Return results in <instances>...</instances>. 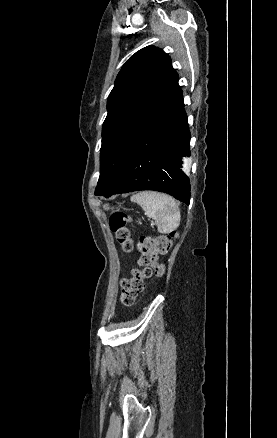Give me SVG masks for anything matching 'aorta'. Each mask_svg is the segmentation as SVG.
I'll use <instances>...</instances> for the list:
<instances>
[{
  "label": "aorta",
  "mask_w": 277,
  "mask_h": 438,
  "mask_svg": "<svg viewBox=\"0 0 277 438\" xmlns=\"http://www.w3.org/2000/svg\"><path fill=\"white\" fill-rule=\"evenodd\" d=\"M185 168H189L191 166V161L185 160Z\"/></svg>",
  "instance_id": "aorta-1"
}]
</instances>
